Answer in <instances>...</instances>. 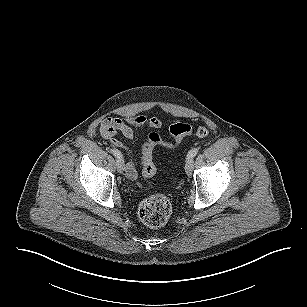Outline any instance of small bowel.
I'll list each match as a JSON object with an SVG mask.
<instances>
[{
  "label": "small bowel",
  "mask_w": 307,
  "mask_h": 307,
  "mask_svg": "<svg viewBox=\"0 0 307 307\" xmlns=\"http://www.w3.org/2000/svg\"><path fill=\"white\" fill-rule=\"evenodd\" d=\"M161 125L162 122L159 118H147L142 115L131 116L125 119L106 118L101 122L100 133L102 137L108 140L112 146L120 148L126 152L128 157L126 174L130 179H135L137 177L136 160L128 147L117 138L118 134H121L127 139H133L137 129L142 127L158 129Z\"/></svg>",
  "instance_id": "obj_1"
}]
</instances>
